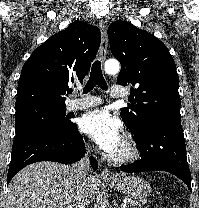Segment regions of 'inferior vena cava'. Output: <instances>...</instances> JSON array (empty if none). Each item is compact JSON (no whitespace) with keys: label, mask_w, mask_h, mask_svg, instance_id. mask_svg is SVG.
I'll return each instance as SVG.
<instances>
[{"label":"inferior vena cava","mask_w":199,"mask_h":208,"mask_svg":"<svg viewBox=\"0 0 199 208\" xmlns=\"http://www.w3.org/2000/svg\"><path fill=\"white\" fill-rule=\"evenodd\" d=\"M91 149L88 148V152L90 153ZM72 169L78 179H83L88 175V171L90 169V161L89 155L86 154L83 159L73 164ZM75 208H85V203L81 200L76 201Z\"/></svg>","instance_id":"1"}]
</instances>
